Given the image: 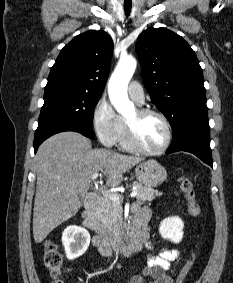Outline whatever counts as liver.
I'll use <instances>...</instances> for the list:
<instances>
[{
	"label": "liver",
	"instance_id": "1",
	"mask_svg": "<svg viewBox=\"0 0 233 283\" xmlns=\"http://www.w3.org/2000/svg\"><path fill=\"white\" fill-rule=\"evenodd\" d=\"M142 157L92 149L83 135L65 131L44 141L35 156L37 186L33 212V236L42 242L57 226L73 217L89 190L92 175L100 173L110 187H117L123 174Z\"/></svg>",
	"mask_w": 233,
	"mask_h": 283
}]
</instances>
